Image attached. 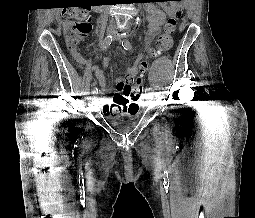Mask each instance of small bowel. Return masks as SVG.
Wrapping results in <instances>:
<instances>
[{
    "mask_svg": "<svg viewBox=\"0 0 255 218\" xmlns=\"http://www.w3.org/2000/svg\"><path fill=\"white\" fill-rule=\"evenodd\" d=\"M182 7L181 3L177 4H165L160 8L156 7L154 4L150 3L146 6L147 11V22H148V32L146 34V44L148 45L147 52L145 55H140L133 65L127 68V78L124 79L122 77H116L115 83L117 85V89L113 92L112 96L106 100V105L104 107V113L106 115L118 113V109L122 105L129 104V93L125 91L124 86L131 85L138 77H142V74L139 75L141 70L140 65L144 64V69L147 67V60L150 57H157L159 52L152 51L150 45L154 38L158 35L160 31V27L166 18V16H170L174 14L177 7ZM83 60H80L82 63ZM103 66L107 68L109 66V59L105 57L103 59ZM91 72L94 75L96 85L98 87V91L100 93H104L108 91V84L104 77L103 72L96 66H89ZM131 106V105H130ZM131 112V111H130Z\"/></svg>",
    "mask_w": 255,
    "mask_h": 218,
    "instance_id": "c3829d8e",
    "label": "small bowel"
}]
</instances>
